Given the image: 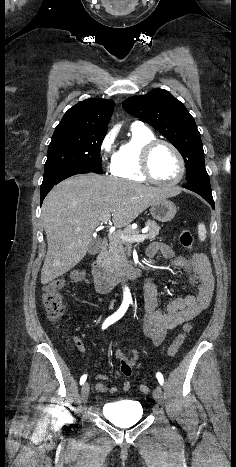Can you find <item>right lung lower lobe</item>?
Segmentation results:
<instances>
[{
    "mask_svg": "<svg viewBox=\"0 0 236 467\" xmlns=\"http://www.w3.org/2000/svg\"><path fill=\"white\" fill-rule=\"evenodd\" d=\"M89 170L77 167L62 168L54 172L44 175L43 182L40 189V204H42L47 193L53 188L54 185L58 184L62 180L76 175L88 173Z\"/></svg>",
    "mask_w": 236,
    "mask_h": 467,
    "instance_id": "right-lung-lower-lobe-1",
    "label": "right lung lower lobe"
}]
</instances>
